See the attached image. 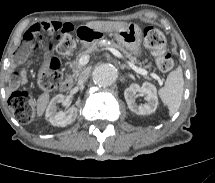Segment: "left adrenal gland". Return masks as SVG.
Returning a JSON list of instances; mask_svg holds the SVG:
<instances>
[{
    "label": "left adrenal gland",
    "instance_id": "1",
    "mask_svg": "<svg viewBox=\"0 0 215 183\" xmlns=\"http://www.w3.org/2000/svg\"><path fill=\"white\" fill-rule=\"evenodd\" d=\"M120 68H121L122 70H124L125 68H128V69H129V67H128L127 65H125V64H121V65H120Z\"/></svg>",
    "mask_w": 215,
    "mask_h": 183
}]
</instances>
